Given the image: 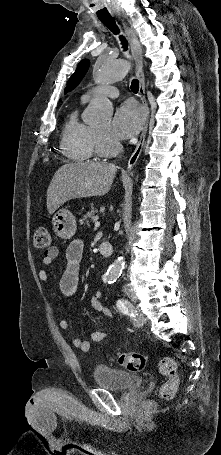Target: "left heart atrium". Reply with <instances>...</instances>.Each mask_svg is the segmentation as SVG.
<instances>
[{
  "label": "left heart atrium",
  "mask_w": 221,
  "mask_h": 455,
  "mask_svg": "<svg viewBox=\"0 0 221 455\" xmlns=\"http://www.w3.org/2000/svg\"><path fill=\"white\" fill-rule=\"evenodd\" d=\"M143 119L141 108L133 102H126L116 109L109 134L116 140L132 137L141 129Z\"/></svg>",
  "instance_id": "39dd6f15"
}]
</instances>
